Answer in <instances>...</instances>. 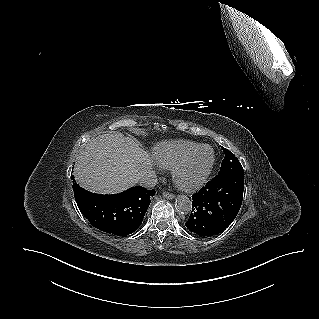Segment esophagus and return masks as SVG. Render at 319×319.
I'll return each instance as SVG.
<instances>
[{
    "label": "esophagus",
    "instance_id": "1",
    "mask_svg": "<svg viewBox=\"0 0 319 319\" xmlns=\"http://www.w3.org/2000/svg\"><path fill=\"white\" fill-rule=\"evenodd\" d=\"M163 196L166 198V199H174L175 198V195L172 194V193H168V192H163Z\"/></svg>",
    "mask_w": 319,
    "mask_h": 319
}]
</instances>
